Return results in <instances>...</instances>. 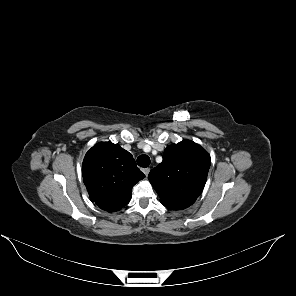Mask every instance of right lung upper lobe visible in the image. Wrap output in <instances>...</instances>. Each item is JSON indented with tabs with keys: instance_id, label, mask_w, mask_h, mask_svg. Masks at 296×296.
Masks as SVG:
<instances>
[{
	"instance_id": "obj_1",
	"label": "right lung upper lobe",
	"mask_w": 296,
	"mask_h": 296,
	"mask_svg": "<svg viewBox=\"0 0 296 296\" xmlns=\"http://www.w3.org/2000/svg\"><path fill=\"white\" fill-rule=\"evenodd\" d=\"M82 176L91 200L108 212L127 205L132 187L145 177L132 155L110 141L99 142L86 153Z\"/></svg>"
}]
</instances>
